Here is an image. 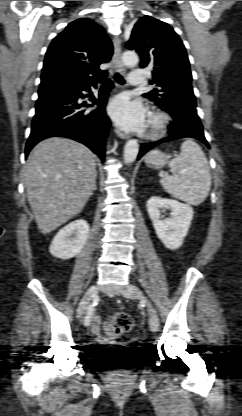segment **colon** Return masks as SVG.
I'll return each instance as SVG.
<instances>
[{"label": "colon", "instance_id": "5ec220e1", "mask_svg": "<svg viewBox=\"0 0 242 416\" xmlns=\"http://www.w3.org/2000/svg\"><path fill=\"white\" fill-rule=\"evenodd\" d=\"M133 328L132 317L125 312L114 313L106 322V330L110 336H120Z\"/></svg>", "mask_w": 242, "mask_h": 416}]
</instances>
